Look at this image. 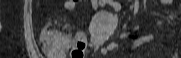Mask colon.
Listing matches in <instances>:
<instances>
[{
    "label": "colon",
    "instance_id": "colon-1",
    "mask_svg": "<svg viewBox=\"0 0 181 58\" xmlns=\"http://www.w3.org/2000/svg\"><path fill=\"white\" fill-rule=\"evenodd\" d=\"M42 41L46 48L55 51L71 49L72 58H83L86 40L81 37L70 39L67 36L55 34L51 31H44Z\"/></svg>",
    "mask_w": 181,
    "mask_h": 58
}]
</instances>
